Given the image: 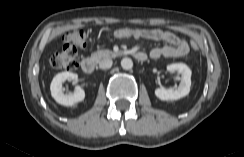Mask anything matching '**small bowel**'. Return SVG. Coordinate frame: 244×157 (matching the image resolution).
<instances>
[{"instance_id":"small-bowel-1","label":"small bowel","mask_w":244,"mask_h":157,"mask_svg":"<svg viewBox=\"0 0 244 157\" xmlns=\"http://www.w3.org/2000/svg\"><path fill=\"white\" fill-rule=\"evenodd\" d=\"M134 38H143L152 41H163L165 46L153 48L149 55L152 59L177 58L188 54V43L174 33L161 29H137Z\"/></svg>"}]
</instances>
